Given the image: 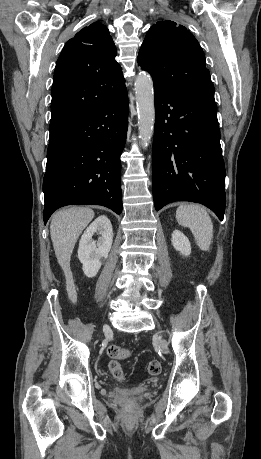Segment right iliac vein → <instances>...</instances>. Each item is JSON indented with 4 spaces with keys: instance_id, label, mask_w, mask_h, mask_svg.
I'll return each mask as SVG.
<instances>
[{
    "instance_id": "obj_1",
    "label": "right iliac vein",
    "mask_w": 261,
    "mask_h": 459,
    "mask_svg": "<svg viewBox=\"0 0 261 459\" xmlns=\"http://www.w3.org/2000/svg\"><path fill=\"white\" fill-rule=\"evenodd\" d=\"M104 330L107 331V330H108V326H105V327H104Z\"/></svg>"
}]
</instances>
